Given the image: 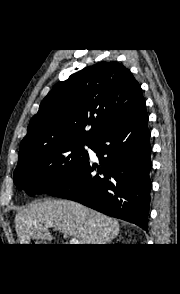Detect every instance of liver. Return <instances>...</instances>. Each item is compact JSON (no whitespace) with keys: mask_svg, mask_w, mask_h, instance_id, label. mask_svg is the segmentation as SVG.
<instances>
[{"mask_svg":"<svg viewBox=\"0 0 180 294\" xmlns=\"http://www.w3.org/2000/svg\"><path fill=\"white\" fill-rule=\"evenodd\" d=\"M51 222L64 235L77 238L79 244H107L120 231L117 220L68 200L32 203L18 211L15 229L20 244L34 239H55L46 224Z\"/></svg>","mask_w":180,"mask_h":294,"instance_id":"6515ba94","label":"liver"}]
</instances>
